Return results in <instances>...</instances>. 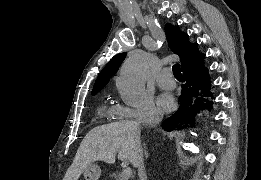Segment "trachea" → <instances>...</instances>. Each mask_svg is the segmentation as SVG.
<instances>
[{
	"instance_id": "3493384b",
	"label": "trachea",
	"mask_w": 261,
	"mask_h": 180,
	"mask_svg": "<svg viewBox=\"0 0 261 180\" xmlns=\"http://www.w3.org/2000/svg\"><path fill=\"white\" fill-rule=\"evenodd\" d=\"M172 71H173V75L175 76L176 79L184 78L183 75L181 74L179 63H175V65H173Z\"/></svg>"
}]
</instances>
